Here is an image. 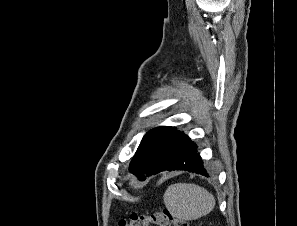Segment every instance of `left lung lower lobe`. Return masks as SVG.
Listing matches in <instances>:
<instances>
[{
	"label": "left lung lower lobe",
	"instance_id": "0a47b994",
	"mask_svg": "<svg viewBox=\"0 0 297 226\" xmlns=\"http://www.w3.org/2000/svg\"><path fill=\"white\" fill-rule=\"evenodd\" d=\"M196 148V144L187 135L178 131L154 169L147 176L164 170H185L209 177ZM144 179L145 177L140 180Z\"/></svg>",
	"mask_w": 297,
	"mask_h": 226
}]
</instances>
